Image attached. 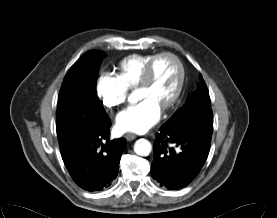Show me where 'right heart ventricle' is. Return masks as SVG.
Returning <instances> with one entry per match:
<instances>
[{"label": "right heart ventricle", "instance_id": "1", "mask_svg": "<svg viewBox=\"0 0 277 218\" xmlns=\"http://www.w3.org/2000/svg\"><path fill=\"white\" fill-rule=\"evenodd\" d=\"M155 54H135L120 62V77L128 87H136L141 81L145 69Z\"/></svg>", "mask_w": 277, "mask_h": 218}]
</instances>
